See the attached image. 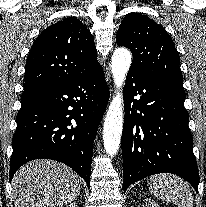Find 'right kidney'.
Listing matches in <instances>:
<instances>
[{
  "instance_id": "1",
  "label": "right kidney",
  "mask_w": 206,
  "mask_h": 207,
  "mask_svg": "<svg viewBox=\"0 0 206 207\" xmlns=\"http://www.w3.org/2000/svg\"><path fill=\"white\" fill-rule=\"evenodd\" d=\"M66 207H78V205L75 202H73V203L67 205Z\"/></svg>"
}]
</instances>
